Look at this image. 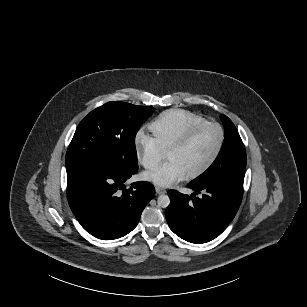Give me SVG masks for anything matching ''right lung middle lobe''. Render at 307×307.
I'll return each instance as SVG.
<instances>
[{
    "label": "right lung middle lobe",
    "instance_id": "right-lung-middle-lobe-1",
    "mask_svg": "<svg viewBox=\"0 0 307 307\" xmlns=\"http://www.w3.org/2000/svg\"><path fill=\"white\" fill-rule=\"evenodd\" d=\"M152 106L108 102L79 123L66 153V169L80 164H105L128 172L138 170L135 136L153 113Z\"/></svg>",
    "mask_w": 307,
    "mask_h": 307
}]
</instances>
